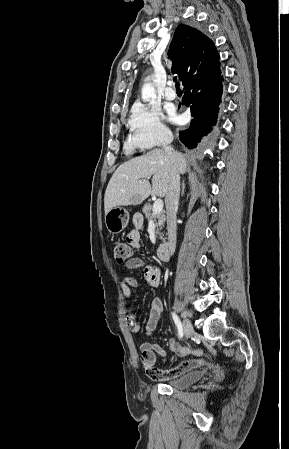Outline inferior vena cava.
<instances>
[{"label": "inferior vena cava", "mask_w": 289, "mask_h": 449, "mask_svg": "<svg viewBox=\"0 0 289 449\" xmlns=\"http://www.w3.org/2000/svg\"><path fill=\"white\" fill-rule=\"evenodd\" d=\"M173 141V135H167L162 141V147L172 155L173 149L169 146ZM180 196V176L174 166L171 168L168 193L165 197L167 211L168 248L171 255L176 248V213Z\"/></svg>", "instance_id": "obj_1"}]
</instances>
